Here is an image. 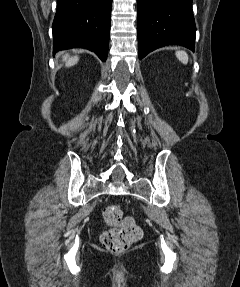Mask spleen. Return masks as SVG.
Listing matches in <instances>:
<instances>
[{"label":"spleen","mask_w":240,"mask_h":287,"mask_svg":"<svg viewBox=\"0 0 240 287\" xmlns=\"http://www.w3.org/2000/svg\"><path fill=\"white\" fill-rule=\"evenodd\" d=\"M176 57L181 61L183 64H187L189 57L185 51H177Z\"/></svg>","instance_id":"obj_1"}]
</instances>
